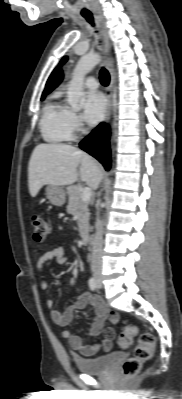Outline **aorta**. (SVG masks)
Instances as JSON below:
<instances>
[{"mask_svg": "<svg viewBox=\"0 0 182 399\" xmlns=\"http://www.w3.org/2000/svg\"><path fill=\"white\" fill-rule=\"evenodd\" d=\"M99 54H87L78 61L68 87V104L75 110L83 107L85 94L83 91L84 78L100 61Z\"/></svg>", "mask_w": 182, "mask_h": 399, "instance_id": "762f6f07", "label": "aorta"}]
</instances>
